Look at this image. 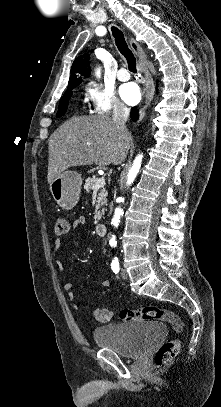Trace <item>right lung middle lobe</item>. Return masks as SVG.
Here are the masks:
<instances>
[{
    "instance_id": "dd1d6c3e",
    "label": "right lung middle lobe",
    "mask_w": 221,
    "mask_h": 407,
    "mask_svg": "<svg viewBox=\"0 0 221 407\" xmlns=\"http://www.w3.org/2000/svg\"><path fill=\"white\" fill-rule=\"evenodd\" d=\"M71 95L72 89L66 90L64 96L61 98V101L59 103V109L57 111L56 117H60L65 114V112L67 111L68 102L69 99L71 98Z\"/></svg>"
}]
</instances>
